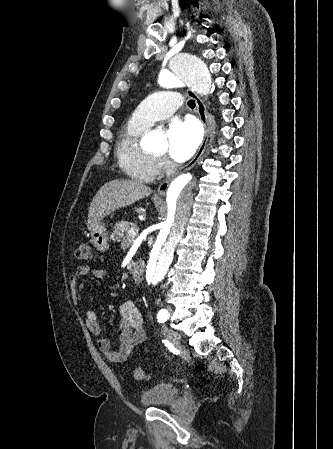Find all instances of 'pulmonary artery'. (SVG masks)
I'll return each instance as SVG.
<instances>
[{
	"label": "pulmonary artery",
	"instance_id": "e3ab8cb5",
	"mask_svg": "<svg viewBox=\"0 0 333 449\" xmlns=\"http://www.w3.org/2000/svg\"><path fill=\"white\" fill-rule=\"evenodd\" d=\"M182 99L179 93L174 91H159L143 100L134 112L133 118L145 126L167 118L180 105Z\"/></svg>",
	"mask_w": 333,
	"mask_h": 449
}]
</instances>
